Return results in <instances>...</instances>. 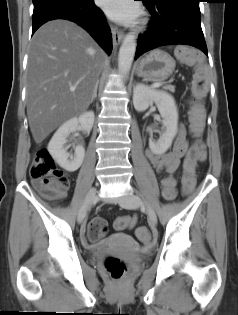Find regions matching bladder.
Segmentation results:
<instances>
[{
	"label": "bladder",
	"mask_w": 238,
	"mask_h": 315,
	"mask_svg": "<svg viewBox=\"0 0 238 315\" xmlns=\"http://www.w3.org/2000/svg\"><path fill=\"white\" fill-rule=\"evenodd\" d=\"M109 249H131V248H109Z\"/></svg>",
	"instance_id": "31cf9c89"
}]
</instances>
